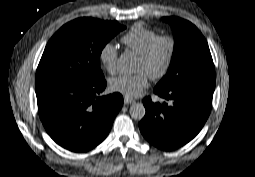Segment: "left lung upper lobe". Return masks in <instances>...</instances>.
Masks as SVG:
<instances>
[{
	"label": "left lung upper lobe",
	"mask_w": 255,
	"mask_h": 177,
	"mask_svg": "<svg viewBox=\"0 0 255 177\" xmlns=\"http://www.w3.org/2000/svg\"><path fill=\"white\" fill-rule=\"evenodd\" d=\"M174 35V51L167 74L155 89L167 90L195 78H215V69L208 44L190 22L178 17H164Z\"/></svg>",
	"instance_id": "left-lung-upper-lobe-1"
}]
</instances>
